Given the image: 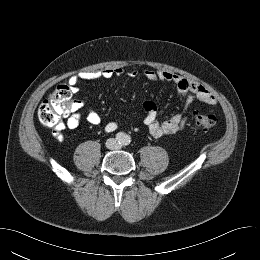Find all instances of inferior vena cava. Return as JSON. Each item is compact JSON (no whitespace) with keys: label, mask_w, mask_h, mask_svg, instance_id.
Wrapping results in <instances>:
<instances>
[{"label":"inferior vena cava","mask_w":260,"mask_h":260,"mask_svg":"<svg viewBox=\"0 0 260 260\" xmlns=\"http://www.w3.org/2000/svg\"><path fill=\"white\" fill-rule=\"evenodd\" d=\"M106 147L108 149L114 150V149H118L119 145H118V143L116 142V140L114 138H109L106 141Z\"/></svg>","instance_id":"1"}]
</instances>
